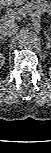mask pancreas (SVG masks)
Listing matches in <instances>:
<instances>
[{
	"label": "pancreas",
	"mask_w": 51,
	"mask_h": 153,
	"mask_svg": "<svg viewBox=\"0 0 51 153\" xmlns=\"http://www.w3.org/2000/svg\"><path fill=\"white\" fill-rule=\"evenodd\" d=\"M22 11L26 15L32 10H41L43 12H49L51 10V3L47 0H31V2L25 4L17 11Z\"/></svg>",
	"instance_id": "cf45deb5"
}]
</instances>
